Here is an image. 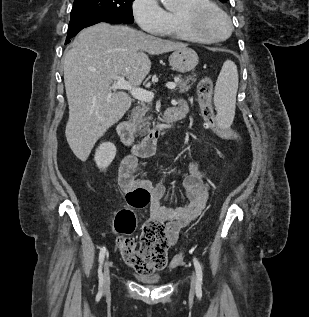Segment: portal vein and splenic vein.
I'll list each match as a JSON object with an SVG mask.
<instances>
[{
	"label": "portal vein and splenic vein",
	"instance_id": "1",
	"mask_svg": "<svg viewBox=\"0 0 309 317\" xmlns=\"http://www.w3.org/2000/svg\"><path fill=\"white\" fill-rule=\"evenodd\" d=\"M111 78L114 79V83L111 86L112 90H115V89L129 90L134 98L144 102H151L154 98V93L152 91H148L141 88H134L132 87V85H130L128 81L125 80L124 77L115 76ZM166 87L170 90H173L175 89L176 84L174 82H168L166 84Z\"/></svg>",
	"mask_w": 309,
	"mask_h": 317
}]
</instances>
